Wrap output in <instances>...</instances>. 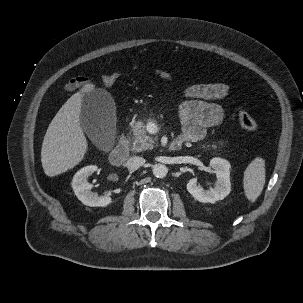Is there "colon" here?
I'll list each match as a JSON object with an SVG mask.
<instances>
[{
    "instance_id": "1",
    "label": "colon",
    "mask_w": 303,
    "mask_h": 303,
    "mask_svg": "<svg viewBox=\"0 0 303 303\" xmlns=\"http://www.w3.org/2000/svg\"><path fill=\"white\" fill-rule=\"evenodd\" d=\"M121 76L120 72H114L102 77V83L105 86H112ZM236 118L239 124L247 131L252 133H258L261 131L260 124L251 117L246 111L243 109L236 110Z\"/></svg>"
}]
</instances>
